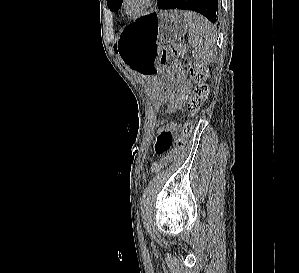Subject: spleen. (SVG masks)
Masks as SVG:
<instances>
[{
  "instance_id": "3e777b00",
  "label": "spleen",
  "mask_w": 299,
  "mask_h": 273,
  "mask_svg": "<svg viewBox=\"0 0 299 273\" xmlns=\"http://www.w3.org/2000/svg\"><path fill=\"white\" fill-rule=\"evenodd\" d=\"M181 15L188 28L194 59L202 65H208L216 54L215 27L205 17L197 13L181 11Z\"/></svg>"
}]
</instances>
